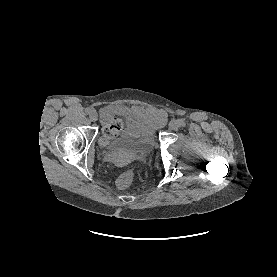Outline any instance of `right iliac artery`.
I'll use <instances>...</instances> for the list:
<instances>
[{"label":"right iliac artery","instance_id":"1","mask_svg":"<svg viewBox=\"0 0 277 277\" xmlns=\"http://www.w3.org/2000/svg\"><path fill=\"white\" fill-rule=\"evenodd\" d=\"M85 112H86V114L90 115L91 112H92V109H91V108H86V109H85Z\"/></svg>","mask_w":277,"mask_h":277}]
</instances>
